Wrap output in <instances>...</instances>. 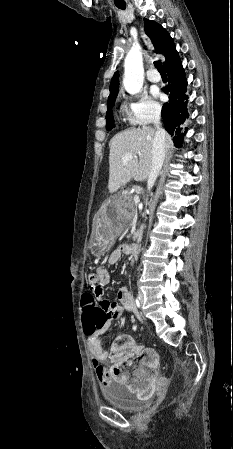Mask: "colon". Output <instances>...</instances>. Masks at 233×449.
<instances>
[{
    "label": "colon",
    "instance_id": "obj_1",
    "mask_svg": "<svg viewBox=\"0 0 233 449\" xmlns=\"http://www.w3.org/2000/svg\"><path fill=\"white\" fill-rule=\"evenodd\" d=\"M91 278H88L89 287L91 285ZM80 317L83 319L82 326L83 328H103L105 317L108 315L105 313V308L98 307L97 303L94 301V295L88 294V292H84L81 301L79 302ZM125 338H118L112 346L111 355L116 353V350L121 346L124 342ZM118 371V369H117Z\"/></svg>",
    "mask_w": 233,
    "mask_h": 449
}]
</instances>
